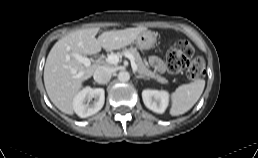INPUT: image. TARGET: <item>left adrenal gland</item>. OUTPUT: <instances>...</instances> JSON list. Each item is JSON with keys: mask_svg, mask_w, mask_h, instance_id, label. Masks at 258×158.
Masks as SVG:
<instances>
[{"mask_svg": "<svg viewBox=\"0 0 258 158\" xmlns=\"http://www.w3.org/2000/svg\"><path fill=\"white\" fill-rule=\"evenodd\" d=\"M134 74H135V77L136 78H138V79H142V78H145L144 76H141V75H137L135 72H134ZM146 79H149V78H146Z\"/></svg>", "mask_w": 258, "mask_h": 158, "instance_id": "a2214340", "label": "left adrenal gland"}]
</instances>
